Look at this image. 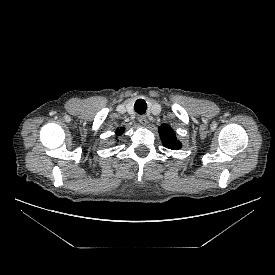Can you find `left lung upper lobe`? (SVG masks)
<instances>
[{
    "label": "left lung upper lobe",
    "mask_w": 275,
    "mask_h": 275,
    "mask_svg": "<svg viewBox=\"0 0 275 275\" xmlns=\"http://www.w3.org/2000/svg\"><path fill=\"white\" fill-rule=\"evenodd\" d=\"M159 134L162 139V143L166 148L172 150H178L181 148V143L177 140L176 134L169 125H161L159 127Z\"/></svg>",
    "instance_id": "1"
}]
</instances>
